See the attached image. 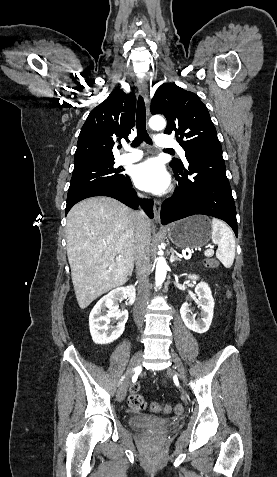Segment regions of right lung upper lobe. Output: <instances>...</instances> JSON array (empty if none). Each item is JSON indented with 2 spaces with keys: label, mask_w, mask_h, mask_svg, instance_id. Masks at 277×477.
Wrapping results in <instances>:
<instances>
[{
  "label": "right lung upper lobe",
  "mask_w": 277,
  "mask_h": 477,
  "mask_svg": "<svg viewBox=\"0 0 277 477\" xmlns=\"http://www.w3.org/2000/svg\"><path fill=\"white\" fill-rule=\"evenodd\" d=\"M135 106V95L118 88L90 112L79 134L75 167L114 161L112 148L115 141L128 138L135 124Z\"/></svg>",
  "instance_id": "right-lung-upper-lobe-1"
}]
</instances>
